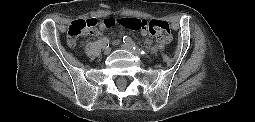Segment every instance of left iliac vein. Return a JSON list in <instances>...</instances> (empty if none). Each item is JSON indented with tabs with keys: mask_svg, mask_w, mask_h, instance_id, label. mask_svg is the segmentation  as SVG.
Listing matches in <instances>:
<instances>
[{
	"mask_svg": "<svg viewBox=\"0 0 255 122\" xmlns=\"http://www.w3.org/2000/svg\"><path fill=\"white\" fill-rule=\"evenodd\" d=\"M120 47L127 50V51H129V52H131V53H133V54H135V55H137V56H140V53L137 50H134L132 47H130L126 44H121Z\"/></svg>",
	"mask_w": 255,
	"mask_h": 122,
	"instance_id": "1",
	"label": "left iliac vein"
}]
</instances>
